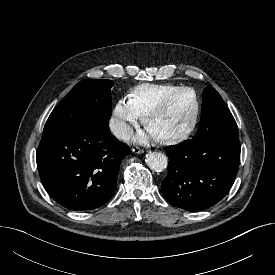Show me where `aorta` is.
<instances>
[{
    "instance_id": "aorta-1",
    "label": "aorta",
    "mask_w": 275,
    "mask_h": 275,
    "mask_svg": "<svg viewBox=\"0 0 275 275\" xmlns=\"http://www.w3.org/2000/svg\"><path fill=\"white\" fill-rule=\"evenodd\" d=\"M145 162L150 169L160 172L166 169L168 160L165 154L157 151H150L146 154Z\"/></svg>"
}]
</instances>
